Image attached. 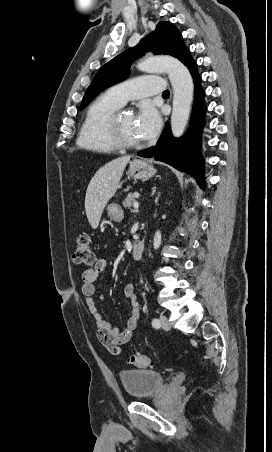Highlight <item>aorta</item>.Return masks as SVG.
<instances>
[{
  "instance_id": "obj_1",
  "label": "aorta",
  "mask_w": 272,
  "mask_h": 452,
  "mask_svg": "<svg viewBox=\"0 0 272 452\" xmlns=\"http://www.w3.org/2000/svg\"><path fill=\"white\" fill-rule=\"evenodd\" d=\"M138 69L168 74L173 88L171 130L175 137H180L185 131L193 101L194 86L189 70L178 59L169 56L147 58L138 64Z\"/></svg>"
}]
</instances>
